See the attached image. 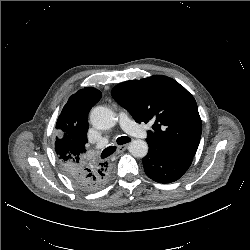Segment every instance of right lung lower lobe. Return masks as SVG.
<instances>
[{
    "mask_svg": "<svg viewBox=\"0 0 250 250\" xmlns=\"http://www.w3.org/2000/svg\"><path fill=\"white\" fill-rule=\"evenodd\" d=\"M66 176L80 189L93 191L103 187L109 179V165L101 163L99 167L83 166L76 169H64Z\"/></svg>",
    "mask_w": 250,
    "mask_h": 250,
    "instance_id": "obj_1",
    "label": "right lung lower lobe"
}]
</instances>
